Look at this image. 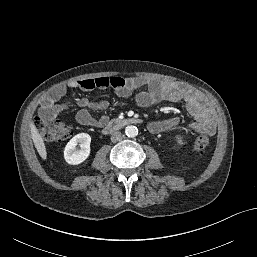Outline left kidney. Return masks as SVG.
Here are the masks:
<instances>
[{
    "label": "left kidney",
    "instance_id": "1",
    "mask_svg": "<svg viewBox=\"0 0 257 257\" xmlns=\"http://www.w3.org/2000/svg\"><path fill=\"white\" fill-rule=\"evenodd\" d=\"M176 140H177V143H178V144H180V145H183V144H184L183 139H182L181 136H177V137H176Z\"/></svg>",
    "mask_w": 257,
    "mask_h": 257
}]
</instances>
